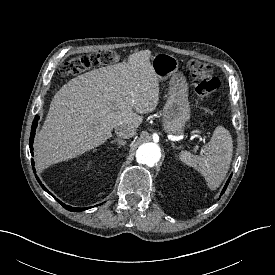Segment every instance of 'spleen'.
I'll return each instance as SVG.
<instances>
[{
    "label": "spleen",
    "mask_w": 275,
    "mask_h": 275,
    "mask_svg": "<svg viewBox=\"0 0 275 275\" xmlns=\"http://www.w3.org/2000/svg\"><path fill=\"white\" fill-rule=\"evenodd\" d=\"M203 153L197 156L183 151L179 159L198 170L204 176L208 187L214 190L224 180L232 160L233 141L229 131L222 126L216 127Z\"/></svg>",
    "instance_id": "obj_1"
}]
</instances>
